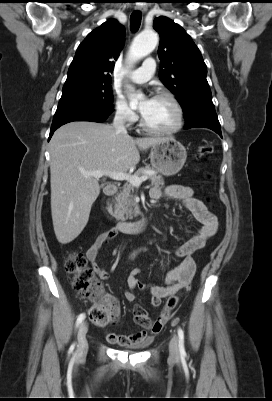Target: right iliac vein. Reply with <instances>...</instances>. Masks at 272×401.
Wrapping results in <instances>:
<instances>
[{
    "label": "right iliac vein",
    "mask_w": 272,
    "mask_h": 401,
    "mask_svg": "<svg viewBox=\"0 0 272 401\" xmlns=\"http://www.w3.org/2000/svg\"><path fill=\"white\" fill-rule=\"evenodd\" d=\"M87 331L88 324L87 322H83L78 331V356H83L88 350Z\"/></svg>",
    "instance_id": "63e3f726"
}]
</instances>
